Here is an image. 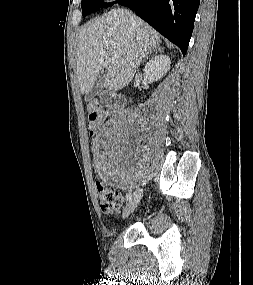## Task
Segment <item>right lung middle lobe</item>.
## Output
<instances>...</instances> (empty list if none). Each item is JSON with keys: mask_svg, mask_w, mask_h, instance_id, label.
Returning a JSON list of instances; mask_svg holds the SVG:
<instances>
[{"mask_svg": "<svg viewBox=\"0 0 253 285\" xmlns=\"http://www.w3.org/2000/svg\"><path fill=\"white\" fill-rule=\"evenodd\" d=\"M113 3H103L102 0H82V15L85 16L87 14H90L91 12H94L95 10L103 7H109Z\"/></svg>", "mask_w": 253, "mask_h": 285, "instance_id": "dd1d6c3e", "label": "right lung middle lobe"}]
</instances>
